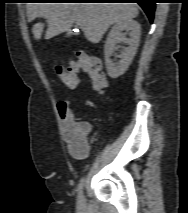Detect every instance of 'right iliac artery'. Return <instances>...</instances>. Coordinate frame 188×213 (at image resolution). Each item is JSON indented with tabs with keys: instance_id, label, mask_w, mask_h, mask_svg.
Segmentation results:
<instances>
[{
	"instance_id": "right-iliac-artery-1",
	"label": "right iliac artery",
	"mask_w": 188,
	"mask_h": 213,
	"mask_svg": "<svg viewBox=\"0 0 188 213\" xmlns=\"http://www.w3.org/2000/svg\"><path fill=\"white\" fill-rule=\"evenodd\" d=\"M84 182H85V178H81L79 184H78V187H77V191H78V200L79 201H82L83 199V195H82V192H83V186H84Z\"/></svg>"
}]
</instances>
